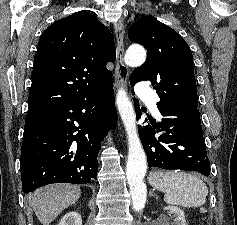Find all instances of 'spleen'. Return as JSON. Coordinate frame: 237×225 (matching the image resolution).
<instances>
[{
    "label": "spleen",
    "mask_w": 237,
    "mask_h": 225,
    "mask_svg": "<svg viewBox=\"0 0 237 225\" xmlns=\"http://www.w3.org/2000/svg\"><path fill=\"white\" fill-rule=\"evenodd\" d=\"M149 183L165 193L164 201L182 207H199L206 202L208 189L197 176L178 171L156 170L150 173Z\"/></svg>",
    "instance_id": "obj_1"
}]
</instances>
